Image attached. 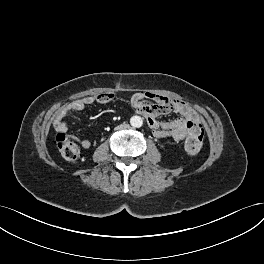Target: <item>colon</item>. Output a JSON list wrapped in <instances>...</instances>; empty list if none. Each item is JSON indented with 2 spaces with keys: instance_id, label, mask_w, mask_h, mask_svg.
Instances as JSON below:
<instances>
[{
  "instance_id": "colon-1",
  "label": "colon",
  "mask_w": 264,
  "mask_h": 264,
  "mask_svg": "<svg viewBox=\"0 0 264 264\" xmlns=\"http://www.w3.org/2000/svg\"><path fill=\"white\" fill-rule=\"evenodd\" d=\"M204 130L200 123L191 122L189 133L185 140V150L189 154H197L202 148ZM56 145L62 157L69 161H74L79 156L78 146L63 132L56 136Z\"/></svg>"
}]
</instances>
